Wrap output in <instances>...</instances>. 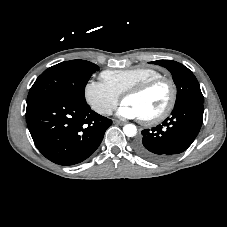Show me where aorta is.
<instances>
[{"instance_id":"aorta-1","label":"aorta","mask_w":227,"mask_h":227,"mask_svg":"<svg viewBox=\"0 0 227 227\" xmlns=\"http://www.w3.org/2000/svg\"><path fill=\"white\" fill-rule=\"evenodd\" d=\"M123 132L128 137H134L137 134V128L134 124H126L123 127Z\"/></svg>"}]
</instances>
